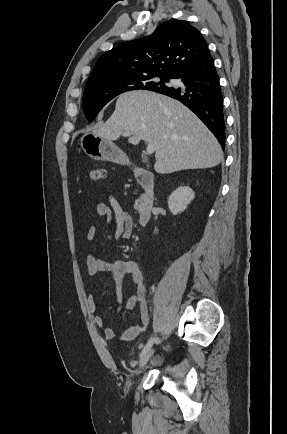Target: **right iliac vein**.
Segmentation results:
<instances>
[{
	"label": "right iliac vein",
	"instance_id": "63e3f726",
	"mask_svg": "<svg viewBox=\"0 0 287 434\" xmlns=\"http://www.w3.org/2000/svg\"><path fill=\"white\" fill-rule=\"evenodd\" d=\"M153 354H154L153 348H149L144 353H142V355L140 357V361H139V370L140 371L144 369V367L149 362V360L151 359Z\"/></svg>",
	"mask_w": 287,
	"mask_h": 434
}]
</instances>
